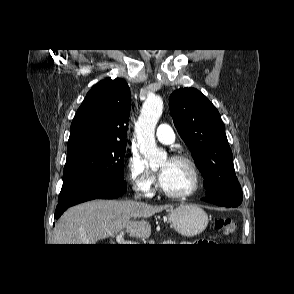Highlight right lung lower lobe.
Returning a JSON list of instances; mask_svg holds the SVG:
<instances>
[{
    "instance_id": "98d812e1",
    "label": "right lung lower lobe",
    "mask_w": 294,
    "mask_h": 294,
    "mask_svg": "<svg viewBox=\"0 0 294 294\" xmlns=\"http://www.w3.org/2000/svg\"><path fill=\"white\" fill-rule=\"evenodd\" d=\"M127 190L124 182L106 180H82L61 189L55 219L76 204L93 199H114L123 195Z\"/></svg>"
}]
</instances>
